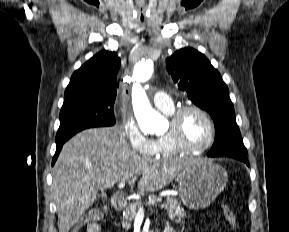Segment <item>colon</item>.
Returning a JSON list of instances; mask_svg holds the SVG:
<instances>
[{
    "mask_svg": "<svg viewBox=\"0 0 289 232\" xmlns=\"http://www.w3.org/2000/svg\"><path fill=\"white\" fill-rule=\"evenodd\" d=\"M223 212H224L227 222L230 224L233 230L235 232H239V225H238L236 215L233 209L227 203L223 204ZM100 218H101V212L97 210L91 212L90 214H86L81 217V219L74 225V227L71 229L70 232H80L83 226H85L88 222L92 220H98Z\"/></svg>",
    "mask_w": 289,
    "mask_h": 232,
    "instance_id": "5ec220e1",
    "label": "colon"
}]
</instances>
